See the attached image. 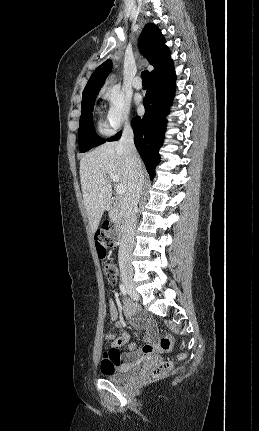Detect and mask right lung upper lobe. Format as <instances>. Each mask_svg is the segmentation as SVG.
Masks as SVG:
<instances>
[{
    "instance_id": "obj_1",
    "label": "right lung upper lobe",
    "mask_w": 259,
    "mask_h": 431,
    "mask_svg": "<svg viewBox=\"0 0 259 431\" xmlns=\"http://www.w3.org/2000/svg\"><path fill=\"white\" fill-rule=\"evenodd\" d=\"M164 43L165 39L156 25L152 23L145 25L138 39V47L148 62L154 67L151 77L173 66L170 50ZM111 68L112 64L110 60L100 65L91 75L82 96L92 92H99Z\"/></svg>"
}]
</instances>
